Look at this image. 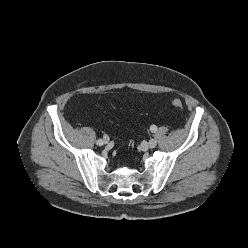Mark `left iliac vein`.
Here are the masks:
<instances>
[{"label":"left iliac vein","instance_id":"1","mask_svg":"<svg viewBox=\"0 0 248 248\" xmlns=\"http://www.w3.org/2000/svg\"><path fill=\"white\" fill-rule=\"evenodd\" d=\"M156 145H157V140L156 139H150L149 140V142H148V146L150 147V148H154V147H156Z\"/></svg>","mask_w":248,"mask_h":248}]
</instances>
